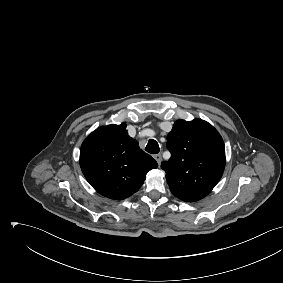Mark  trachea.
Here are the masks:
<instances>
[{"label": "trachea", "mask_w": 283, "mask_h": 283, "mask_svg": "<svg viewBox=\"0 0 283 283\" xmlns=\"http://www.w3.org/2000/svg\"><path fill=\"white\" fill-rule=\"evenodd\" d=\"M145 150L150 154H157L159 153L160 148L155 140L150 139L147 146L145 147Z\"/></svg>", "instance_id": "trachea-1"}]
</instances>
